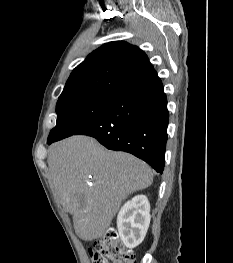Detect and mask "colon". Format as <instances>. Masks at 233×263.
<instances>
[{"label":"colon","mask_w":233,"mask_h":263,"mask_svg":"<svg viewBox=\"0 0 233 263\" xmlns=\"http://www.w3.org/2000/svg\"><path fill=\"white\" fill-rule=\"evenodd\" d=\"M90 253L94 263H136L134 251L124 246L114 230L96 240Z\"/></svg>","instance_id":"colon-1"}]
</instances>
